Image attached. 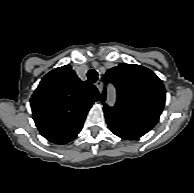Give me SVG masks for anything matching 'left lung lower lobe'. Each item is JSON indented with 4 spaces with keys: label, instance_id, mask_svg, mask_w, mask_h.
<instances>
[{
    "label": "left lung lower lobe",
    "instance_id": "left-lung-lower-lobe-1",
    "mask_svg": "<svg viewBox=\"0 0 194 193\" xmlns=\"http://www.w3.org/2000/svg\"><path fill=\"white\" fill-rule=\"evenodd\" d=\"M110 130L118 137L125 140L138 139L152 128L118 117L110 112H104Z\"/></svg>",
    "mask_w": 194,
    "mask_h": 193
}]
</instances>
